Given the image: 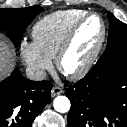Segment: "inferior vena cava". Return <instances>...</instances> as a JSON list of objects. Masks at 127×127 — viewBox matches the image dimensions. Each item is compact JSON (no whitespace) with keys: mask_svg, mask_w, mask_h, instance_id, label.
<instances>
[{"mask_svg":"<svg viewBox=\"0 0 127 127\" xmlns=\"http://www.w3.org/2000/svg\"><path fill=\"white\" fill-rule=\"evenodd\" d=\"M26 75L28 79L34 81H42L47 78V73L45 70L34 67H28L26 69Z\"/></svg>","mask_w":127,"mask_h":127,"instance_id":"inferior-vena-cava-1","label":"inferior vena cava"}]
</instances>
